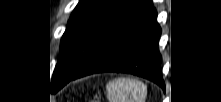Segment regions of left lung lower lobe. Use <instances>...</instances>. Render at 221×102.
I'll return each instance as SVG.
<instances>
[{
    "label": "left lung lower lobe",
    "instance_id": "left-lung-lower-lobe-1",
    "mask_svg": "<svg viewBox=\"0 0 221 102\" xmlns=\"http://www.w3.org/2000/svg\"><path fill=\"white\" fill-rule=\"evenodd\" d=\"M160 35L151 0H139L70 80L100 72H124L149 79L164 89Z\"/></svg>",
    "mask_w": 221,
    "mask_h": 102
}]
</instances>
